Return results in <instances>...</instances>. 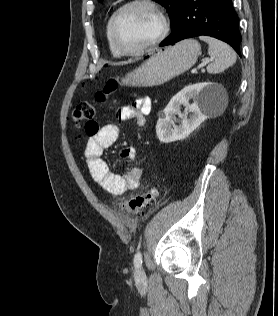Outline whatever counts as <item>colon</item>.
<instances>
[{
    "instance_id": "obj_1",
    "label": "colon",
    "mask_w": 278,
    "mask_h": 316,
    "mask_svg": "<svg viewBox=\"0 0 278 316\" xmlns=\"http://www.w3.org/2000/svg\"><path fill=\"white\" fill-rule=\"evenodd\" d=\"M117 89V81L110 79L102 91L96 93L95 99L98 103L106 101L109 94ZM95 108L87 102L78 103L72 112V119L77 125L84 124V133L88 136L95 134L98 129V123L94 120ZM158 198V189L153 186L142 194L132 196L124 201V210L132 215L142 214L150 209Z\"/></svg>"
}]
</instances>
